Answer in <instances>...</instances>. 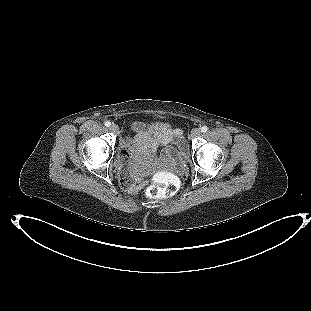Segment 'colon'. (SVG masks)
Returning a JSON list of instances; mask_svg holds the SVG:
<instances>
[{"instance_id": "obj_1", "label": "colon", "mask_w": 311, "mask_h": 311, "mask_svg": "<svg viewBox=\"0 0 311 311\" xmlns=\"http://www.w3.org/2000/svg\"><path fill=\"white\" fill-rule=\"evenodd\" d=\"M129 153L124 150L122 157ZM120 182L125 187L126 179L120 173ZM178 190V179L168 171H157L152 174V185L146 189V195L152 199H164L173 196Z\"/></svg>"}]
</instances>
